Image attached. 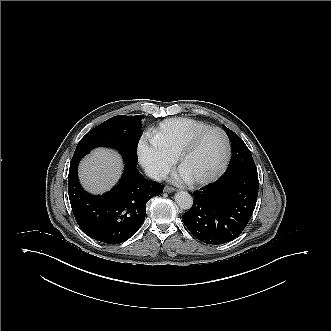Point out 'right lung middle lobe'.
Masks as SVG:
<instances>
[{"mask_svg":"<svg viewBox=\"0 0 331 331\" xmlns=\"http://www.w3.org/2000/svg\"><path fill=\"white\" fill-rule=\"evenodd\" d=\"M141 115H119L89 131L78 143L72 160L81 159L96 147L117 149L124 162L137 166V146L142 134Z\"/></svg>","mask_w":331,"mask_h":331,"instance_id":"obj_1","label":"right lung middle lobe"}]
</instances>
